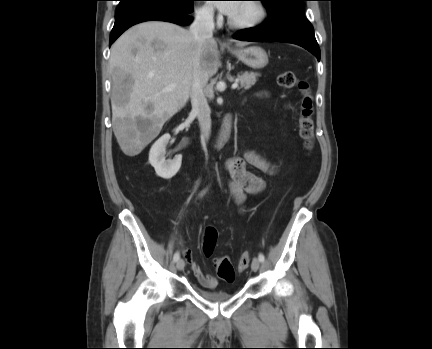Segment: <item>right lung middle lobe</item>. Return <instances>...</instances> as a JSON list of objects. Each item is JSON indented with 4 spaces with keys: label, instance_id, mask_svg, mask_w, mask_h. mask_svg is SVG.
Segmentation results:
<instances>
[{
    "label": "right lung middle lobe",
    "instance_id": "dd1d6c3e",
    "mask_svg": "<svg viewBox=\"0 0 432 349\" xmlns=\"http://www.w3.org/2000/svg\"><path fill=\"white\" fill-rule=\"evenodd\" d=\"M119 1H120L119 7H123V6L129 5V4L135 3V2L146 1V0H119ZM152 1L165 2V3L171 4L173 6L182 7V6H186L187 4H189L193 0H152Z\"/></svg>",
    "mask_w": 432,
    "mask_h": 349
}]
</instances>
